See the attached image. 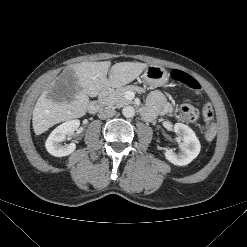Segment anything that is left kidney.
Returning <instances> with one entry per match:
<instances>
[{"label": "left kidney", "mask_w": 247, "mask_h": 247, "mask_svg": "<svg viewBox=\"0 0 247 247\" xmlns=\"http://www.w3.org/2000/svg\"><path fill=\"white\" fill-rule=\"evenodd\" d=\"M174 132L181 136L183 141L181 152L176 154L170 149H166L164 155L166 159L174 165L184 166L189 164L200 153L201 145L194 131L187 125L176 123Z\"/></svg>", "instance_id": "left-kidney-1"}]
</instances>
